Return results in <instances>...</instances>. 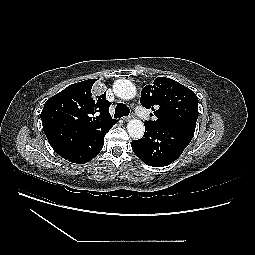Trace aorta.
<instances>
[{"instance_id": "1", "label": "aorta", "mask_w": 255, "mask_h": 255, "mask_svg": "<svg viewBox=\"0 0 255 255\" xmlns=\"http://www.w3.org/2000/svg\"><path fill=\"white\" fill-rule=\"evenodd\" d=\"M114 93L121 99H132L136 94V87L129 80H117L113 85ZM127 131L134 139H140L145 131L143 122L139 119H131L127 124Z\"/></svg>"}]
</instances>
